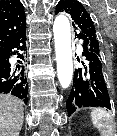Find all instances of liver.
I'll use <instances>...</instances> for the list:
<instances>
[{"label":"liver","mask_w":117,"mask_h":136,"mask_svg":"<svg viewBox=\"0 0 117 136\" xmlns=\"http://www.w3.org/2000/svg\"><path fill=\"white\" fill-rule=\"evenodd\" d=\"M23 104L16 97L0 94V136H19L24 121Z\"/></svg>","instance_id":"liver-1"}]
</instances>
